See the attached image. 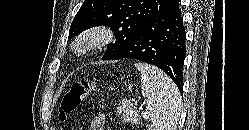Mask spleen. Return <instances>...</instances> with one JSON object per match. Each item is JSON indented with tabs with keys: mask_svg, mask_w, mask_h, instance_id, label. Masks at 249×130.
Returning a JSON list of instances; mask_svg holds the SVG:
<instances>
[{
	"mask_svg": "<svg viewBox=\"0 0 249 130\" xmlns=\"http://www.w3.org/2000/svg\"><path fill=\"white\" fill-rule=\"evenodd\" d=\"M141 73V93L146 100L152 130H175L181 113V97L172 79L162 70L136 63Z\"/></svg>",
	"mask_w": 249,
	"mask_h": 130,
	"instance_id": "obj_1",
	"label": "spleen"
}]
</instances>
